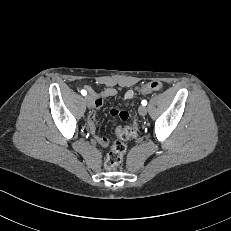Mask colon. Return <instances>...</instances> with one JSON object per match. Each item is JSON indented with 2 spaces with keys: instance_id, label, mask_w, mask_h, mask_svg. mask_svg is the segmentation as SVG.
Wrapping results in <instances>:
<instances>
[{
  "instance_id": "5ec220e1",
  "label": "colon",
  "mask_w": 231,
  "mask_h": 231,
  "mask_svg": "<svg viewBox=\"0 0 231 231\" xmlns=\"http://www.w3.org/2000/svg\"><path fill=\"white\" fill-rule=\"evenodd\" d=\"M162 84L158 81H152L138 89L136 95L141 96L161 89ZM120 119L125 121L132 119L131 124L116 129L117 139L110 144V150L106 155L103 166L106 170H113L123 159L126 147L124 141L135 138L139 132L138 120L136 117L123 111L120 113Z\"/></svg>"
}]
</instances>
